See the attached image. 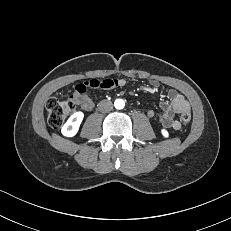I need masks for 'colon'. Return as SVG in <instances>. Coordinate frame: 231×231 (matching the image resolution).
<instances>
[{
  "label": "colon",
  "mask_w": 231,
  "mask_h": 231,
  "mask_svg": "<svg viewBox=\"0 0 231 231\" xmlns=\"http://www.w3.org/2000/svg\"><path fill=\"white\" fill-rule=\"evenodd\" d=\"M48 112V123L53 128L60 127L66 118L74 111L75 103L73 99L59 100L57 98H50L46 103ZM191 119L190 112L181 114V121L185 124L189 123Z\"/></svg>",
  "instance_id": "1"
}]
</instances>
